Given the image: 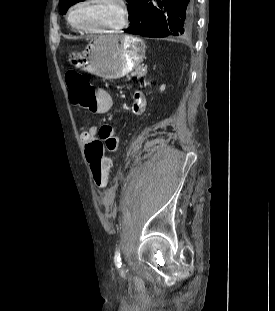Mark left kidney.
<instances>
[{
    "mask_svg": "<svg viewBox=\"0 0 275 311\" xmlns=\"http://www.w3.org/2000/svg\"><path fill=\"white\" fill-rule=\"evenodd\" d=\"M160 90H161V92L164 91V90H165V85H162V86L160 87Z\"/></svg>",
    "mask_w": 275,
    "mask_h": 311,
    "instance_id": "left-kidney-1",
    "label": "left kidney"
}]
</instances>
